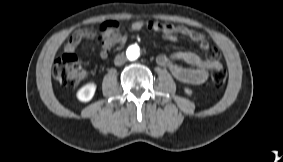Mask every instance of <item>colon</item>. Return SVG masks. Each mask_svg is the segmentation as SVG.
<instances>
[{
  "label": "colon",
  "instance_id": "5ec220e1",
  "mask_svg": "<svg viewBox=\"0 0 283 162\" xmlns=\"http://www.w3.org/2000/svg\"><path fill=\"white\" fill-rule=\"evenodd\" d=\"M53 74L65 88H73L82 78L83 68L74 54H64L55 61ZM226 79L227 73L222 67L213 70L211 81L214 87L222 88Z\"/></svg>",
  "mask_w": 283,
  "mask_h": 162
}]
</instances>
